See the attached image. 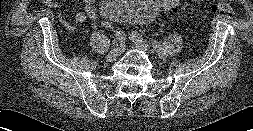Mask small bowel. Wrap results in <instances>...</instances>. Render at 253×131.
Returning <instances> with one entry per match:
<instances>
[{
	"mask_svg": "<svg viewBox=\"0 0 253 131\" xmlns=\"http://www.w3.org/2000/svg\"><path fill=\"white\" fill-rule=\"evenodd\" d=\"M84 3V11H75L71 12L73 20L76 23H82L85 20H90L93 22L97 18V11L94 6L96 0H82ZM54 6H58V3H53ZM67 26L72 29L70 25L67 24ZM92 27L96 28V24L92 23Z\"/></svg>",
	"mask_w": 253,
	"mask_h": 131,
	"instance_id": "obj_1",
	"label": "small bowel"
}]
</instances>
